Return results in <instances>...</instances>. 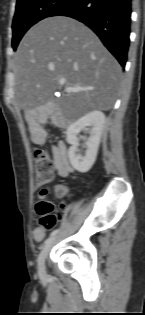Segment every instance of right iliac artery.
I'll list each match as a JSON object with an SVG mask.
<instances>
[{
    "instance_id": "obj_1",
    "label": "right iliac artery",
    "mask_w": 145,
    "mask_h": 315,
    "mask_svg": "<svg viewBox=\"0 0 145 315\" xmlns=\"http://www.w3.org/2000/svg\"><path fill=\"white\" fill-rule=\"evenodd\" d=\"M58 229H56V230H53L52 232H51V234H50V237H53V236H55L57 233H58Z\"/></svg>"
}]
</instances>
